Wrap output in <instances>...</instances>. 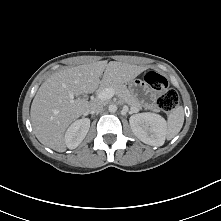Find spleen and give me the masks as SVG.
<instances>
[{
    "instance_id": "spleen-1",
    "label": "spleen",
    "mask_w": 221,
    "mask_h": 221,
    "mask_svg": "<svg viewBox=\"0 0 221 221\" xmlns=\"http://www.w3.org/2000/svg\"><path fill=\"white\" fill-rule=\"evenodd\" d=\"M184 123V110L182 106L175 107L167 118V139L177 135Z\"/></svg>"
}]
</instances>
